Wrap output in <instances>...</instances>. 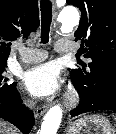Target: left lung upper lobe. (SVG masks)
I'll return each instance as SVG.
<instances>
[{
    "instance_id": "obj_1",
    "label": "left lung upper lobe",
    "mask_w": 116,
    "mask_h": 134,
    "mask_svg": "<svg viewBox=\"0 0 116 134\" xmlns=\"http://www.w3.org/2000/svg\"><path fill=\"white\" fill-rule=\"evenodd\" d=\"M80 8L81 20L75 31L76 41L86 46L85 57L91 62L71 70L87 96L108 89L116 79V0H67Z\"/></svg>"
}]
</instances>
